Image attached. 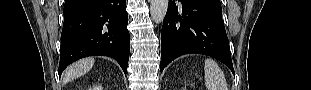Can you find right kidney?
<instances>
[{
  "label": "right kidney",
  "mask_w": 311,
  "mask_h": 90,
  "mask_svg": "<svg viewBox=\"0 0 311 90\" xmlns=\"http://www.w3.org/2000/svg\"><path fill=\"white\" fill-rule=\"evenodd\" d=\"M93 90H102V87H101V86H95V87L93 88Z\"/></svg>",
  "instance_id": "obj_1"
}]
</instances>
